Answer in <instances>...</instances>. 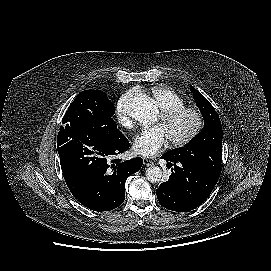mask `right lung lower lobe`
Returning a JSON list of instances; mask_svg holds the SVG:
<instances>
[{"label": "right lung lower lobe", "instance_id": "1", "mask_svg": "<svg viewBox=\"0 0 271 271\" xmlns=\"http://www.w3.org/2000/svg\"><path fill=\"white\" fill-rule=\"evenodd\" d=\"M129 141L119 131H92L81 124H65L57 149L65 182L78 201L94 211L117 208L125 199L126 179L139 171L140 157L128 161L109 158L124 153Z\"/></svg>", "mask_w": 271, "mask_h": 271}]
</instances>
